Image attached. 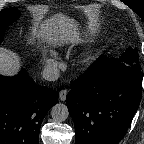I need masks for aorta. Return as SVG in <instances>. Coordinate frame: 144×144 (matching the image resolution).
<instances>
[{"mask_svg":"<svg viewBox=\"0 0 144 144\" xmlns=\"http://www.w3.org/2000/svg\"><path fill=\"white\" fill-rule=\"evenodd\" d=\"M51 116L56 122H63L69 116L68 108L65 104L57 103L51 109Z\"/></svg>","mask_w":144,"mask_h":144,"instance_id":"762f6f07","label":"aorta"}]
</instances>
